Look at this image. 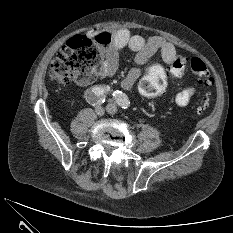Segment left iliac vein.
Wrapping results in <instances>:
<instances>
[{
    "mask_svg": "<svg viewBox=\"0 0 233 233\" xmlns=\"http://www.w3.org/2000/svg\"><path fill=\"white\" fill-rule=\"evenodd\" d=\"M106 110L109 114H112V115L116 114L118 111L116 105L112 103L106 106Z\"/></svg>",
    "mask_w": 233,
    "mask_h": 233,
    "instance_id": "4c4485c4",
    "label": "left iliac vein"
}]
</instances>
